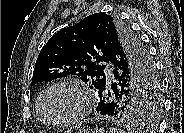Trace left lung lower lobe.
<instances>
[{"instance_id": "0a47b994", "label": "left lung lower lobe", "mask_w": 184, "mask_h": 133, "mask_svg": "<svg viewBox=\"0 0 184 133\" xmlns=\"http://www.w3.org/2000/svg\"><path fill=\"white\" fill-rule=\"evenodd\" d=\"M114 64V77L116 79L115 83H112L109 86H105L101 91L97 93V96L100 98V102L98 103V106L96 108V111L100 115H107V116H117L118 112V100L120 97L125 93V88L127 87V81H126V76L125 72L121 69L119 66H116V63ZM145 84V83H144ZM146 88L149 86L146 85ZM144 121H141L142 123ZM134 124H139V123H134Z\"/></svg>"}]
</instances>
